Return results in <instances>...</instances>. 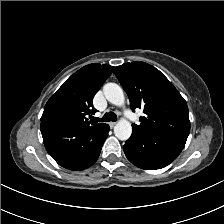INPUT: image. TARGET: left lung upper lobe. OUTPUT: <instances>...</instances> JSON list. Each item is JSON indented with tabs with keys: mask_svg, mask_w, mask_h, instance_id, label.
Segmentation results:
<instances>
[{
	"mask_svg": "<svg viewBox=\"0 0 224 224\" xmlns=\"http://www.w3.org/2000/svg\"><path fill=\"white\" fill-rule=\"evenodd\" d=\"M126 91L132 110L145 116L133 129L163 135L186 143L190 132L188 107L173 84L155 67L141 61L125 63L114 70Z\"/></svg>",
	"mask_w": 224,
	"mask_h": 224,
	"instance_id": "obj_1",
	"label": "left lung upper lobe"
}]
</instances>
